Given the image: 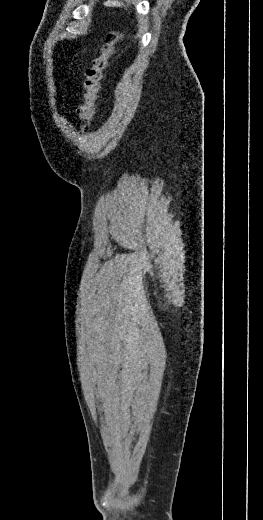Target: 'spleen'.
<instances>
[{
	"mask_svg": "<svg viewBox=\"0 0 263 520\" xmlns=\"http://www.w3.org/2000/svg\"><path fill=\"white\" fill-rule=\"evenodd\" d=\"M104 5L105 6H108V7H114V6H118V7H121L123 6V3L121 2H118L117 0H108L106 2H104Z\"/></svg>",
	"mask_w": 263,
	"mask_h": 520,
	"instance_id": "1",
	"label": "spleen"
}]
</instances>
